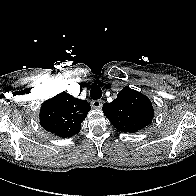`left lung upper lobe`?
Listing matches in <instances>:
<instances>
[{
  "label": "left lung upper lobe",
  "mask_w": 196,
  "mask_h": 196,
  "mask_svg": "<svg viewBox=\"0 0 196 196\" xmlns=\"http://www.w3.org/2000/svg\"><path fill=\"white\" fill-rule=\"evenodd\" d=\"M102 110L112 125L125 133L145 128L154 116L148 97L130 88L122 89L115 100L103 105Z\"/></svg>",
  "instance_id": "5c2ea615"
}]
</instances>
